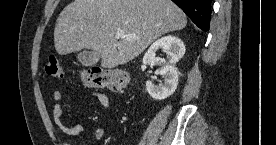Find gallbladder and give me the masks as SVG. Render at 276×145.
Here are the masks:
<instances>
[{"mask_svg": "<svg viewBox=\"0 0 276 145\" xmlns=\"http://www.w3.org/2000/svg\"><path fill=\"white\" fill-rule=\"evenodd\" d=\"M100 59V54L96 51H82L78 54L79 62L86 67L95 65Z\"/></svg>", "mask_w": 276, "mask_h": 145, "instance_id": "obj_1", "label": "gallbladder"}]
</instances>
